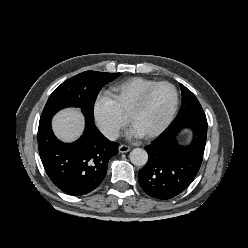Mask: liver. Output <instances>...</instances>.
Here are the masks:
<instances>
[{"label": "liver", "mask_w": 248, "mask_h": 248, "mask_svg": "<svg viewBox=\"0 0 248 248\" xmlns=\"http://www.w3.org/2000/svg\"><path fill=\"white\" fill-rule=\"evenodd\" d=\"M53 130L58 138L70 142L78 138L84 128V117L80 110L69 108L53 118Z\"/></svg>", "instance_id": "1"}]
</instances>
